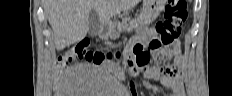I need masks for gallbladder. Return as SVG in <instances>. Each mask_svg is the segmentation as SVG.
<instances>
[{"label": "gallbladder", "instance_id": "obj_1", "mask_svg": "<svg viewBox=\"0 0 232 96\" xmlns=\"http://www.w3.org/2000/svg\"><path fill=\"white\" fill-rule=\"evenodd\" d=\"M101 30V21L99 19L98 12L92 9L89 13V35L96 36Z\"/></svg>", "mask_w": 232, "mask_h": 96}]
</instances>
